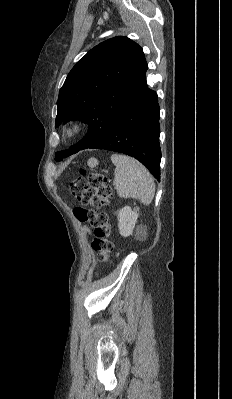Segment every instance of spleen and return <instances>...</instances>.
I'll use <instances>...</instances> for the list:
<instances>
[{"instance_id": "3e777b00", "label": "spleen", "mask_w": 232, "mask_h": 399, "mask_svg": "<svg viewBox=\"0 0 232 399\" xmlns=\"http://www.w3.org/2000/svg\"><path fill=\"white\" fill-rule=\"evenodd\" d=\"M111 160L116 166L113 186L118 196L140 200L144 205L151 203L155 196V184L145 166L134 158L120 154H113Z\"/></svg>"}]
</instances>
